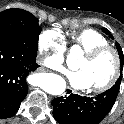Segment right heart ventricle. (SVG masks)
Instances as JSON below:
<instances>
[{
	"label": "right heart ventricle",
	"instance_id": "e07e8e85",
	"mask_svg": "<svg viewBox=\"0 0 124 124\" xmlns=\"http://www.w3.org/2000/svg\"><path fill=\"white\" fill-rule=\"evenodd\" d=\"M70 40L71 47L78 48L82 52H86L87 50L96 46L109 44L108 39L103 34L90 28L71 34Z\"/></svg>",
	"mask_w": 124,
	"mask_h": 124
}]
</instances>
